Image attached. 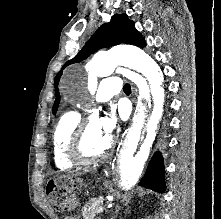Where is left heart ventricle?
<instances>
[{
	"label": "left heart ventricle",
	"mask_w": 221,
	"mask_h": 219,
	"mask_svg": "<svg viewBox=\"0 0 221 219\" xmlns=\"http://www.w3.org/2000/svg\"><path fill=\"white\" fill-rule=\"evenodd\" d=\"M110 137L107 136L100 128V122L91 118L82 141V154L85 157H94L101 154L107 148Z\"/></svg>",
	"instance_id": "left-heart-ventricle-1"
}]
</instances>
